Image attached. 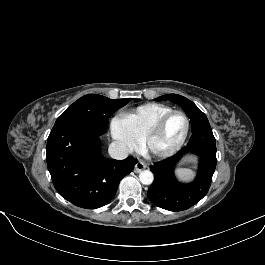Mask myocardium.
<instances>
[{
	"mask_svg": "<svg viewBox=\"0 0 265 265\" xmlns=\"http://www.w3.org/2000/svg\"><path fill=\"white\" fill-rule=\"evenodd\" d=\"M181 115L184 117L185 121H186V130L185 133L183 135V137L180 139V141L175 144L172 147L166 148V149H157L153 146V141L154 139L157 137V135L160 133V131L162 130L165 122L168 120V118L172 115ZM190 129H191V123H190V119L188 117V115L181 111V110H170L167 113L163 114L153 125L152 127L146 132V134L144 135V137L142 138V143L143 146L146 148V150L156 156V157H169L174 155L175 153H177L186 143L189 133H190Z\"/></svg>",
	"mask_w": 265,
	"mask_h": 265,
	"instance_id": "f54148a6",
	"label": "myocardium"
}]
</instances>
